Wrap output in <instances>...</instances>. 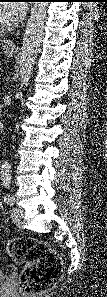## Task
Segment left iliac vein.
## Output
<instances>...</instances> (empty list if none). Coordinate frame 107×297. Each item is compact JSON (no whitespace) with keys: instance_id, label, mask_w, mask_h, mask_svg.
<instances>
[{"instance_id":"obj_1","label":"left iliac vein","mask_w":107,"mask_h":297,"mask_svg":"<svg viewBox=\"0 0 107 297\" xmlns=\"http://www.w3.org/2000/svg\"><path fill=\"white\" fill-rule=\"evenodd\" d=\"M23 214H24V212H23V209L22 208H20V207H15V208H13V210H12V219L15 221V222H18V221H20L21 219H22V217H23Z\"/></svg>"}]
</instances>
